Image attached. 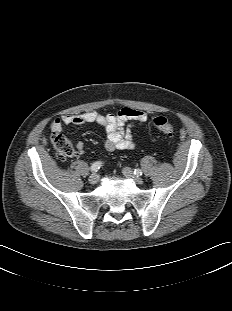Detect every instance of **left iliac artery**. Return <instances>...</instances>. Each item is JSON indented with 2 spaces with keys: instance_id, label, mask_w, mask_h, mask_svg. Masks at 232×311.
Returning <instances> with one entry per match:
<instances>
[{
  "instance_id": "1",
  "label": "left iliac artery",
  "mask_w": 232,
  "mask_h": 311,
  "mask_svg": "<svg viewBox=\"0 0 232 311\" xmlns=\"http://www.w3.org/2000/svg\"><path fill=\"white\" fill-rule=\"evenodd\" d=\"M134 174L137 176H141L142 175V171L140 169H135L134 170Z\"/></svg>"
}]
</instances>
